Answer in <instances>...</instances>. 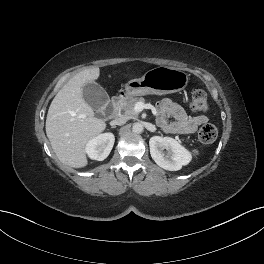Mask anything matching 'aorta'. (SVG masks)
<instances>
[{
    "mask_svg": "<svg viewBox=\"0 0 264 264\" xmlns=\"http://www.w3.org/2000/svg\"><path fill=\"white\" fill-rule=\"evenodd\" d=\"M144 130V127L141 123H134L133 126H132V131L134 133H142Z\"/></svg>",
    "mask_w": 264,
    "mask_h": 264,
    "instance_id": "1",
    "label": "aorta"
}]
</instances>
